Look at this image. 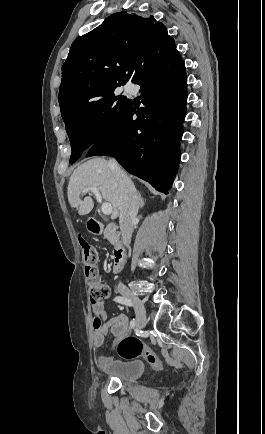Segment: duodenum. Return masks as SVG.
<instances>
[{"instance_id":"obj_1","label":"duodenum","mask_w":265,"mask_h":434,"mask_svg":"<svg viewBox=\"0 0 265 434\" xmlns=\"http://www.w3.org/2000/svg\"><path fill=\"white\" fill-rule=\"evenodd\" d=\"M88 229L91 232L103 233L111 244L116 245L117 227L114 224L102 225L98 224L95 218H90L87 221ZM128 254V249L124 246H118L114 250V258L112 262L113 272H118L124 265L125 257Z\"/></svg>"}]
</instances>
